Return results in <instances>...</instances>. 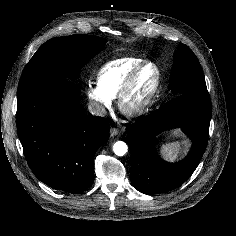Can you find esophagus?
<instances>
[{"mask_svg":"<svg viewBox=\"0 0 236 236\" xmlns=\"http://www.w3.org/2000/svg\"><path fill=\"white\" fill-rule=\"evenodd\" d=\"M118 133H119V130L117 128H111L110 129V136L111 137H114V136L118 135Z\"/></svg>","mask_w":236,"mask_h":236,"instance_id":"esophagus-1","label":"esophagus"}]
</instances>
